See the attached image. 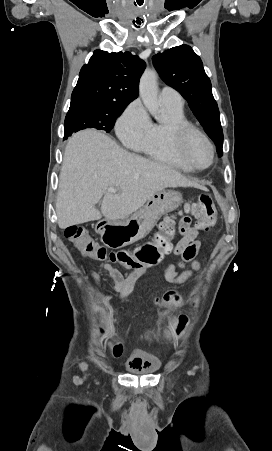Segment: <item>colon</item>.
<instances>
[{"label":"colon","mask_w":272,"mask_h":451,"mask_svg":"<svg viewBox=\"0 0 272 451\" xmlns=\"http://www.w3.org/2000/svg\"><path fill=\"white\" fill-rule=\"evenodd\" d=\"M195 214L200 220L196 224V229L202 233H210L217 218V208L213 197L203 193L197 197L195 204ZM65 238L74 243L79 248L81 256H97L99 262H105L107 258L116 263L131 269H139L146 266H153L162 263L164 258L172 251L173 245L170 239L173 238L172 230H155L154 239L144 242L132 251L111 252L110 249H103L87 236L86 229L78 224H70L64 231ZM191 306L196 304L194 299L189 301ZM187 317L181 315L176 324L166 328V333L170 337V344L186 330ZM98 331L103 334L104 329L98 326ZM154 344V343H153Z\"/></svg>","instance_id":"1"}]
</instances>
